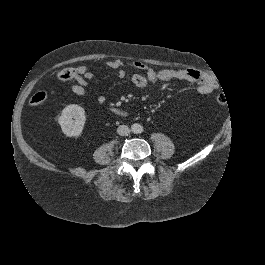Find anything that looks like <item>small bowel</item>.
<instances>
[{
	"instance_id": "obj_1",
	"label": "small bowel",
	"mask_w": 265,
	"mask_h": 265,
	"mask_svg": "<svg viewBox=\"0 0 265 265\" xmlns=\"http://www.w3.org/2000/svg\"><path fill=\"white\" fill-rule=\"evenodd\" d=\"M106 66L109 69L116 70L120 79L126 76L127 67L138 70L139 72L134 73L131 77L132 83L138 88L146 87L158 81L173 80L195 83L198 85L197 89L201 94H210L218 87L213 78L194 69L155 70L139 61L125 62L120 59L110 60L106 63ZM79 69L78 75L73 78L75 82L71 86V91L77 96H86L88 89L91 87L90 81L93 79V73L86 66H80ZM96 100L98 103L103 104L106 98L104 95L97 93Z\"/></svg>"
}]
</instances>
